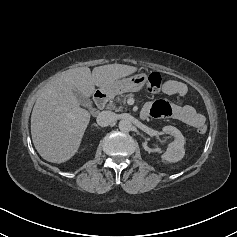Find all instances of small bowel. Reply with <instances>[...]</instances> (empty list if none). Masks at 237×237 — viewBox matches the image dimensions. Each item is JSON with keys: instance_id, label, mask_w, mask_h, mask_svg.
<instances>
[{"instance_id": "obj_1", "label": "small bowel", "mask_w": 237, "mask_h": 237, "mask_svg": "<svg viewBox=\"0 0 237 237\" xmlns=\"http://www.w3.org/2000/svg\"><path fill=\"white\" fill-rule=\"evenodd\" d=\"M162 91L166 95L184 96L187 86L178 80H168L164 83ZM162 118L171 116L191 127L199 128L204 125V116L191 105L172 104L164 100L148 102L142 110V117Z\"/></svg>"}]
</instances>
